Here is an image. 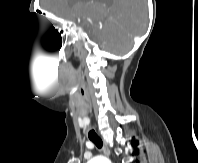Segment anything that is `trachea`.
<instances>
[{"label": "trachea", "instance_id": "1", "mask_svg": "<svg viewBox=\"0 0 198 163\" xmlns=\"http://www.w3.org/2000/svg\"><path fill=\"white\" fill-rule=\"evenodd\" d=\"M88 137L99 149L102 148V140L94 130L89 131Z\"/></svg>", "mask_w": 198, "mask_h": 163}]
</instances>
